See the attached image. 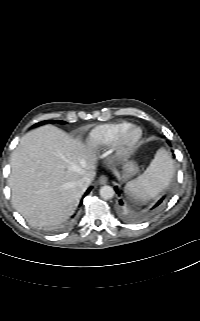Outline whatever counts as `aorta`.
Listing matches in <instances>:
<instances>
[{"mask_svg":"<svg viewBox=\"0 0 200 321\" xmlns=\"http://www.w3.org/2000/svg\"><path fill=\"white\" fill-rule=\"evenodd\" d=\"M115 194L114 189L111 186L105 185L100 188V196L104 200L111 199Z\"/></svg>","mask_w":200,"mask_h":321,"instance_id":"obj_1","label":"aorta"}]
</instances>
